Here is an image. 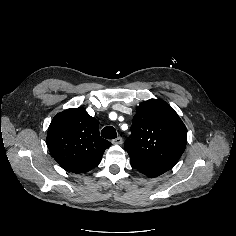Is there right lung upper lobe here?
Instances as JSON below:
<instances>
[{"label":"right lung upper lobe","mask_w":236,"mask_h":236,"mask_svg":"<svg viewBox=\"0 0 236 236\" xmlns=\"http://www.w3.org/2000/svg\"><path fill=\"white\" fill-rule=\"evenodd\" d=\"M46 142L56 162L77 174L95 168L111 145L100 137L98 121L82 107L58 113L49 126Z\"/></svg>","instance_id":"cb5924a9"}]
</instances>
